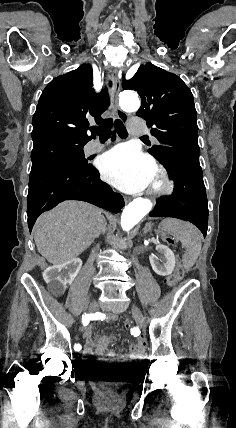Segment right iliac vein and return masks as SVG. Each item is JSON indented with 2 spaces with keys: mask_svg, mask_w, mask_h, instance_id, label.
I'll use <instances>...</instances> for the list:
<instances>
[{
  "mask_svg": "<svg viewBox=\"0 0 236 428\" xmlns=\"http://www.w3.org/2000/svg\"><path fill=\"white\" fill-rule=\"evenodd\" d=\"M97 307V302L96 301H91L90 302V306H89V313L90 312H93V313H95V308ZM94 327L91 325L90 327H89V329L87 330L89 333L92 331V329H93ZM87 331H84L83 332V335L84 336H87L88 335V332ZM83 341V340H82ZM84 342V341H83Z\"/></svg>",
  "mask_w": 236,
  "mask_h": 428,
  "instance_id": "1",
  "label": "right iliac vein"
}]
</instances>
